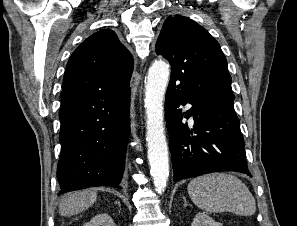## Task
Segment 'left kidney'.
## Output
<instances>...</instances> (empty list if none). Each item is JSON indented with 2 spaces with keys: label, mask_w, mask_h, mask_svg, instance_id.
<instances>
[{
  "label": "left kidney",
  "mask_w": 297,
  "mask_h": 226,
  "mask_svg": "<svg viewBox=\"0 0 297 226\" xmlns=\"http://www.w3.org/2000/svg\"><path fill=\"white\" fill-rule=\"evenodd\" d=\"M191 226H223V225L219 222H216L205 213H197L193 219Z\"/></svg>",
  "instance_id": "1"
}]
</instances>
